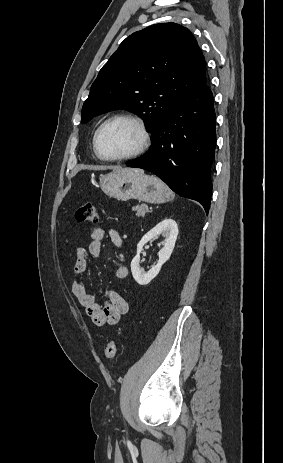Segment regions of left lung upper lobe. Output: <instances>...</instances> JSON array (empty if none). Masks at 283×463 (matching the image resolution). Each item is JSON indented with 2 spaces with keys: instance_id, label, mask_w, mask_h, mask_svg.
I'll return each mask as SVG.
<instances>
[{
  "instance_id": "left-lung-upper-lobe-1",
  "label": "left lung upper lobe",
  "mask_w": 283,
  "mask_h": 463,
  "mask_svg": "<svg viewBox=\"0 0 283 463\" xmlns=\"http://www.w3.org/2000/svg\"><path fill=\"white\" fill-rule=\"evenodd\" d=\"M206 83L205 58L191 32L176 23L127 37L100 70L81 123L115 109L138 114L152 134L176 105Z\"/></svg>"
}]
</instances>
